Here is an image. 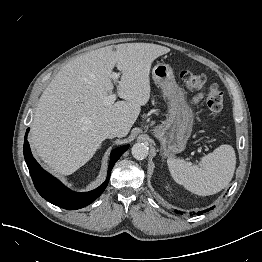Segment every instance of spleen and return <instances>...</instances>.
<instances>
[{"instance_id":"spleen-1","label":"spleen","mask_w":262,"mask_h":262,"mask_svg":"<svg viewBox=\"0 0 262 262\" xmlns=\"http://www.w3.org/2000/svg\"><path fill=\"white\" fill-rule=\"evenodd\" d=\"M167 164L176 183L196 195L208 196L229 184L234 174L236 156L232 146L221 145L202 157L200 166L175 158H168Z\"/></svg>"}]
</instances>
